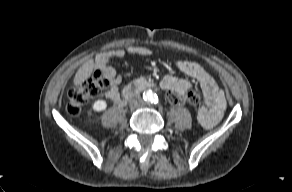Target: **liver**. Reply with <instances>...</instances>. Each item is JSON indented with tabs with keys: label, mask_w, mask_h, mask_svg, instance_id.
Returning a JSON list of instances; mask_svg holds the SVG:
<instances>
[{
	"label": "liver",
	"mask_w": 292,
	"mask_h": 192,
	"mask_svg": "<svg viewBox=\"0 0 292 192\" xmlns=\"http://www.w3.org/2000/svg\"><path fill=\"white\" fill-rule=\"evenodd\" d=\"M94 70V61H86L76 72L73 83L75 86L81 85L86 81L92 74Z\"/></svg>",
	"instance_id": "6515ba94"
}]
</instances>
